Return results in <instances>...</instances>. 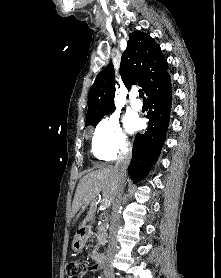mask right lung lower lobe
I'll return each mask as SVG.
<instances>
[{"mask_svg": "<svg viewBox=\"0 0 221 278\" xmlns=\"http://www.w3.org/2000/svg\"><path fill=\"white\" fill-rule=\"evenodd\" d=\"M145 93L150 105V110L146 115L149 119L148 129L145 133L136 135L132 160L128 167V174L134 183L144 179L148 174L165 140L172 97L168 72L152 84Z\"/></svg>", "mask_w": 221, "mask_h": 278, "instance_id": "right-lung-lower-lobe-1", "label": "right lung lower lobe"}]
</instances>
